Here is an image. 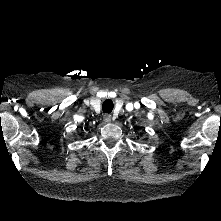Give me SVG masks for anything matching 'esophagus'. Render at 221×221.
Here are the masks:
<instances>
[{
    "instance_id": "34e87169",
    "label": "esophagus",
    "mask_w": 221,
    "mask_h": 221,
    "mask_svg": "<svg viewBox=\"0 0 221 221\" xmlns=\"http://www.w3.org/2000/svg\"><path fill=\"white\" fill-rule=\"evenodd\" d=\"M103 119H104V121H105L106 123L111 122V116H110L109 114H105L104 117H103Z\"/></svg>"
}]
</instances>
